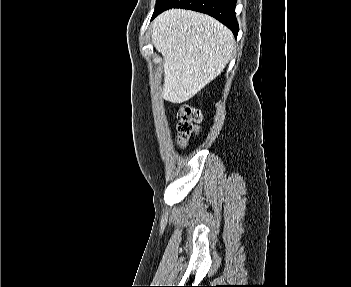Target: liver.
<instances>
[{"instance_id":"6515ba94","label":"liver","mask_w":351,"mask_h":287,"mask_svg":"<svg viewBox=\"0 0 351 287\" xmlns=\"http://www.w3.org/2000/svg\"><path fill=\"white\" fill-rule=\"evenodd\" d=\"M152 42L163 56L162 96L183 103L225 69L232 56L234 36L208 15L170 9L152 22Z\"/></svg>"}]
</instances>
